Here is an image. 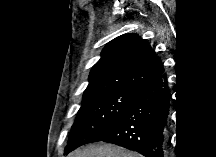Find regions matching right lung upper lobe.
Returning <instances> with one entry per match:
<instances>
[{"label": "right lung upper lobe", "mask_w": 216, "mask_h": 157, "mask_svg": "<svg viewBox=\"0 0 216 157\" xmlns=\"http://www.w3.org/2000/svg\"><path fill=\"white\" fill-rule=\"evenodd\" d=\"M163 72L162 63L146 40L137 34H124L102 50L90 71L83 98L119 88L135 89Z\"/></svg>", "instance_id": "obj_1"}]
</instances>
